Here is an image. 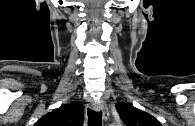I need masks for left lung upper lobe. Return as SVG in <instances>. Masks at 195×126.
<instances>
[{
	"instance_id": "left-lung-upper-lobe-1",
	"label": "left lung upper lobe",
	"mask_w": 195,
	"mask_h": 126,
	"mask_svg": "<svg viewBox=\"0 0 195 126\" xmlns=\"http://www.w3.org/2000/svg\"><path fill=\"white\" fill-rule=\"evenodd\" d=\"M116 109L126 126H161L153 116L131 104L117 103Z\"/></svg>"
}]
</instances>
